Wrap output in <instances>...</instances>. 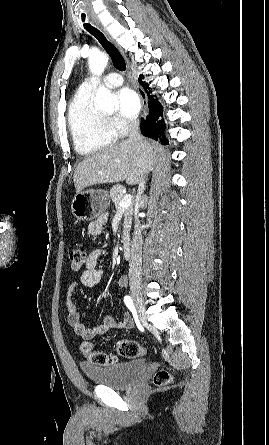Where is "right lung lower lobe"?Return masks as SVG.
Listing matches in <instances>:
<instances>
[{"label":"right lung lower lobe","mask_w":269,"mask_h":445,"mask_svg":"<svg viewBox=\"0 0 269 445\" xmlns=\"http://www.w3.org/2000/svg\"><path fill=\"white\" fill-rule=\"evenodd\" d=\"M144 78L143 75L139 76V82L140 84L145 88L148 98H149V115L147 117V120L144 121L142 119V132L145 136L151 137L153 139H156L161 141L163 144H167V139L164 135V128L165 124L163 125L164 128H162V125L159 123H163L164 120H160L159 123L156 122L159 118V116H162L163 114V107L161 104L156 100L154 101L153 96L150 95V92L147 91L149 89L148 84L145 82H142V79ZM160 135L162 138H160Z\"/></svg>","instance_id":"obj_1"}]
</instances>
